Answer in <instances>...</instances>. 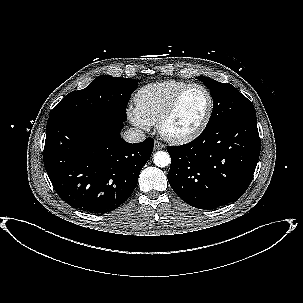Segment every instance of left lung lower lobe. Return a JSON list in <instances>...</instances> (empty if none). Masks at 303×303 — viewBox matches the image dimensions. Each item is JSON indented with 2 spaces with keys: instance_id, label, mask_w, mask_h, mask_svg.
<instances>
[{
  "instance_id": "obj_1",
  "label": "left lung lower lobe",
  "mask_w": 303,
  "mask_h": 303,
  "mask_svg": "<svg viewBox=\"0 0 303 303\" xmlns=\"http://www.w3.org/2000/svg\"><path fill=\"white\" fill-rule=\"evenodd\" d=\"M255 115L206 127L192 142L169 146L168 181L175 193L198 209H215L247 190L260 154Z\"/></svg>"
}]
</instances>
